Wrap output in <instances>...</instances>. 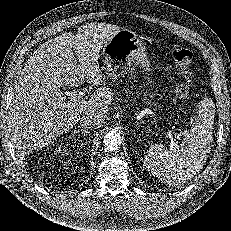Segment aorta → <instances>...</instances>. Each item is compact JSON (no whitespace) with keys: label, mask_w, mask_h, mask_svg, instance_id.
<instances>
[{"label":"aorta","mask_w":231,"mask_h":231,"mask_svg":"<svg viewBox=\"0 0 231 231\" xmlns=\"http://www.w3.org/2000/svg\"><path fill=\"white\" fill-rule=\"evenodd\" d=\"M122 144V137L116 131H111L104 136L103 146L108 151L117 150Z\"/></svg>","instance_id":"1"}]
</instances>
